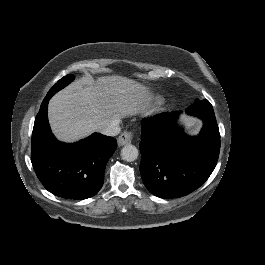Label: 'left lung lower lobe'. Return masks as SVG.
<instances>
[{"label":"left lung lower lobe","instance_id":"0a47b994","mask_svg":"<svg viewBox=\"0 0 265 265\" xmlns=\"http://www.w3.org/2000/svg\"><path fill=\"white\" fill-rule=\"evenodd\" d=\"M186 113L203 120L198 136L177 127L180 112L163 113L141 122L140 173L146 188L161 198L185 196L199 188L214 170L220 134L212 105L201 100Z\"/></svg>","mask_w":265,"mask_h":265}]
</instances>
